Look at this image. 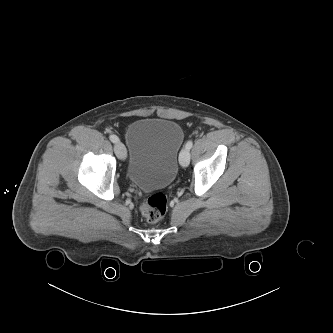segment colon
Segmentation results:
<instances>
[{"label": "colon", "mask_w": 333, "mask_h": 333, "mask_svg": "<svg viewBox=\"0 0 333 333\" xmlns=\"http://www.w3.org/2000/svg\"><path fill=\"white\" fill-rule=\"evenodd\" d=\"M167 212V197L163 193L151 195L141 206V213L150 223L160 221Z\"/></svg>", "instance_id": "1"}]
</instances>
